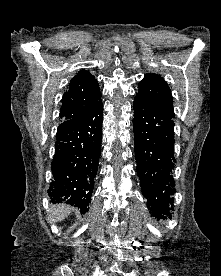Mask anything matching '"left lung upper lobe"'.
Listing matches in <instances>:
<instances>
[{"instance_id":"left-lung-upper-lobe-1","label":"left lung upper lobe","mask_w":221,"mask_h":276,"mask_svg":"<svg viewBox=\"0 0 221 276\" xmlns=\"http://www.w3.org/2000/svg\"><path fill=\"white\" fill-rule=\"evenodd\" d=\"M138 95L152 108L174 117L172 95L164 79L156 74H147L139 82Z\"/></svg>"}]
</instances>
